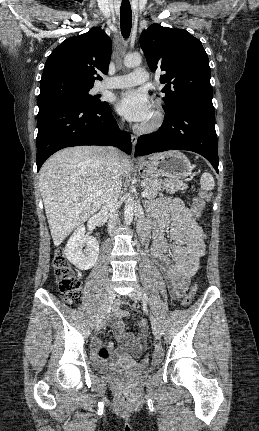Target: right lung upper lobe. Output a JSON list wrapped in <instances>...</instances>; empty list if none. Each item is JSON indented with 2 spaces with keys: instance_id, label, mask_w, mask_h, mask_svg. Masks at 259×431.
<instances>
[{
  "instance_id": "cb5924a9",
  "label": "right lung upper lobe",
  "mask_w": 259,
  "mask_h": 431,
  "mask_svg": "<svg viewBox=\"0 0 259 431\" xmlns=\"http://www.w3.org/2000/svg\"><path fill=\"white\" fill-rule=\"evenodd\" d=\"M111 51V39L100 27L66 39L52 51L45 63L40 92L52 81L92 88L96 79L102 80L100 73H108Z\"/></svg>"
}]
</instances>
